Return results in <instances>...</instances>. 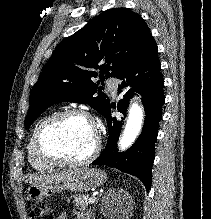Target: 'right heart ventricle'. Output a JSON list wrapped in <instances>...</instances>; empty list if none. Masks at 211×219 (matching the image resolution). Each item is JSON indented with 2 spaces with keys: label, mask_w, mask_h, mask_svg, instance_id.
Returning <instances> with one entry per match:
<instances>
[{
  "label": "right heart ventricle",
  "mask_w": 211,
  "mask_h": 219,
  "mask_svg": "<svg viewBox=\"0 0 211 219\" xmlns=\"http://www.w3.org/2000/svg\"><path fill=\"white\" fill-rule=\"evenodd\" d=\"M48 117L49 116H44L43 118H41L37 122V124L35 125L32 133H31V136H30V139H29V142H28V145H27L28 162L32 166V168H34L35 170H38V171H46V170H49L52 167V166L44 163L40 159H38L37 156L35 155L34 151H33V139H34L35 133H36L38 127L42 124V122L45 119H47Z\"/></svg>",
  "instance_id": "obj_1"
}]
</instances>
